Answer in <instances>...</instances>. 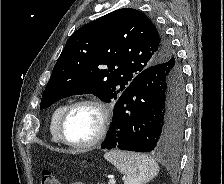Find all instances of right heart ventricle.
Returning a JSON list of instances; mask_svg holds the SVG:
<instances>
[{
  "label": "right heart ventricle",
  "instance_id": "e07e8e85",
  "mask_svg": "<svg viewBox=\"0 0 224 184\" xmlns=\"http://www.w3.org/2000/svg\"><path fill=\"white\" fill-rule=\"evenodd\" d=\"M66 106H67L66 104L57 106L52 112L50 117L49 130H50L51 139L54 143L61 142L59 138V133H58V124H59L60 117L63 111L65 110Z\"/></svg>",
  "mask_w": 224,
  "mask_h": 184
}]
</instances>
